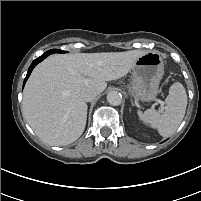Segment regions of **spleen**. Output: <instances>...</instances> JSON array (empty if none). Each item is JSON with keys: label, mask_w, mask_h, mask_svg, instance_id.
I'll list each match as a JSON object with an SVG mask.
<instances>
[{"label": "spleen", "mask_w": 201, "mask_h": 201, "mask_svg": "<svg viewBox=\"0 0 201 201\" xmlns=\"http://www.w3.org/2000/svg\"><path fill=\"white\" fill-rule=\"evenodd\" d=\"M165 103L164 112L147 109L144 113L141 111L137 113L144 123L151 128L157 129L161 136L168 137L178 129L187 107V94L181 83L172 84Z\"/></svg>", "instance_id": "3e777b00"}]
</instances>
